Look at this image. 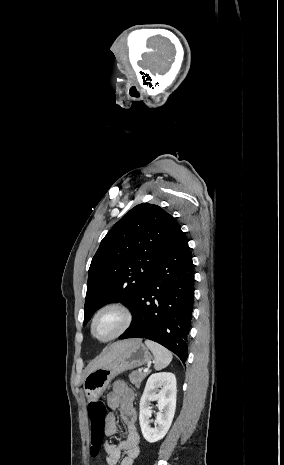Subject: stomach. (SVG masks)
<instances>
[{
	"mask_svg": "<svg viewBox=\"0 0 284 465\" xmlns=\"http://www.w3.org/2000/svg\"><path fill=\"white\" fill-rule=\"evenodd\" d=\"M150 361H152V355L145 345L131 343L123 353H119L114 361L87 375L83 389L88 401H98L116 375L147 365Z\"/></svg>",
	"mask_w": 284,
	"mask_h": 465,
	"instance_id": "1",
	"label": "stomach"
}]
</instances>
